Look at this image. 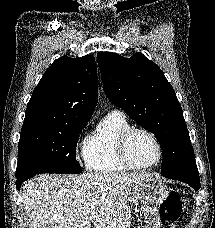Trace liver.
Instances as JSON below:
<instances>
[{
	"instance_id": "obj_1",
	"label": "liver",
	"mask_w": 215,
	"mask_h": 228,
	"mask_svg": "<svg viewBox=\"0 0 215 228\" xmlns=\"http://www.w3.org/2000/svg\"><path fill=\"white\" fill-rule=\"evenodd\" d=\"M147 174H40L20 190L31 228H130L131 188Z\"/></svg>"
}]
</instances>
